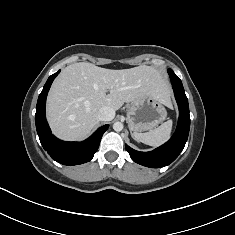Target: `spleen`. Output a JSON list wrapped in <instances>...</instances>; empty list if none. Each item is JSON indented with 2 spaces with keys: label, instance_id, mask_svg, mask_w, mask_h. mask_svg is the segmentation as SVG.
<instances>
[{
  "label": "spleen",
  "instance_id": "1",
  "mask_svg": "<svg viewBox=\"0 0 235 235\" xmlns=\"http://www.w3.org/2000/svg\"><path fill=\"white\" fill-rule=\"evenodd\" d=\"M172 120H168L161 124L158 128L146 133L133 134L135 140L146 145L159 146L165 143L171 135Z\"/></svg>",
  "mask_w": 235,
  "mask_h": 235
}]
</instances>
